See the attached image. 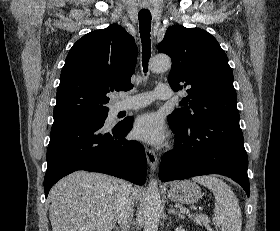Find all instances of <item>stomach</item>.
<instances>
[{
  "mask_svg": "<svg viewBox=\"0 0 280 231\" xmlns=\"http://www.w3.org/2000/svg\"><path fill=\"white\" fill-rule=\"evenodd\" d=\"M169 199L179 201V203H196L200 199L202 193L199 185L194 181H173L168 191Z\"/></svg>",
  "mask_w": 280,
  "mask_h": 231,
  "instance_id": "0dacf381",
  "label": "stomach"
}]
</instances>
